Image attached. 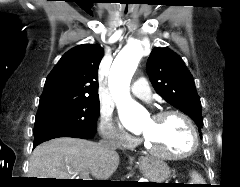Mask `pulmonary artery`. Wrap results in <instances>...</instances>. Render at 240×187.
I'll use <instances>...</instances> for the list:
<instances>
[{"mask_svg": "<svg viewBox=\"0 0 240 187\" xmlns=\"http://www.w3.org/2000/svg\"><path fill=\"white\" fill-rule=\"evenodd\" d=\"M131 92L137 98L143 101H150L152 97L151 89L146 79L141 78L136 80L131 86Z\"/></svg>", "mask_w": 240, "mask_h": 187, "instance_id": "obj_1", "label": "pulmonary artery"}]
</instances>
